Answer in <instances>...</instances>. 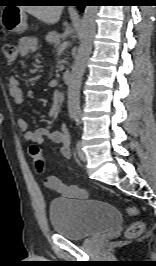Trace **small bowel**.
<instances>
[{
	"label": "small bowel",
	"instance_id": "1",
	"mask_svg": "<svg viewBox=\"0 0 156 266\" xmlns=\"http://www.w3.org/2000/svg\"><path fill=\"white\" fill-rule=\"evenodd\" d=\"M18 49L21 56H27L37 51V42L30 37L21 38L18 43ZM9 95L15 105L20 106L23 104L24 94L17 77L13 76L9 79ZM17 125L26 141L35 145H40L48 139L54 143L61 144L60 151L63 157H70L71 141L65 125H63L59 131H50L49 129L42 127L31 130L27 121L21 116H18L17 118ZM45 186L47 189L55 191L66 198L85 199L88 196L84 189L76 185H66L56 177H48L45 180Z\"/></svg>",
	"mask_w": 156,
	"mask_h": 266
}]
</instances>
